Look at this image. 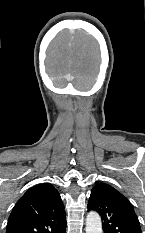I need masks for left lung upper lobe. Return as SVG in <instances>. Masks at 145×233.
Masks as SVG:
<instances>
[{
  "label": "left lung upper lobe",
  "mask_w": 145,
  "mask_h": 233,
  "mask_svg": "<svg viewBox=\"0 0 145 233\" xmlns=\"http://www.w3.org/2000/svg\"><path fill=\"white\" fill-rule=\"evenodd\" d=\"M97 211L105 233H142L129 200L106 183L96 184L90 195L88 211Z\"/></svg>",
  "instance_id": "5c2ea615"
}]
</instances>
